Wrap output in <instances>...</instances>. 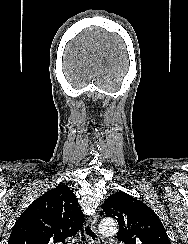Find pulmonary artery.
Instances as JSON below:
<instances>
[{
  "label": "pulmonary artery",
  "instance_id": "pulmonary-artery-1",
  "mask_svg": "<svg viewBox=\"0 0 188 244\" xmlns=\"http://www.w3.org/2000/svg\"><path fill=\"white\" fill-rule=\"evenodd\" d=\"M111 244H123L122 242H113Z\"/></svg>",
  "mask_w": 188,
  "mask_h": 244
}]
</instances>
